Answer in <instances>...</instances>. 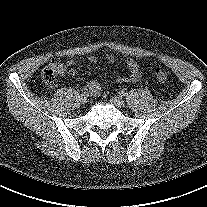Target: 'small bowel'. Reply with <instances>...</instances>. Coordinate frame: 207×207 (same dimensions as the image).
I'll return each instance as SVG.
<instances>
[{"label":"small bowel","mask_w":207,"mask_h":207,"mask_svg":"<svg viewBox=\"0 0 207 207\" xmlns=\"http://www.w3.org/2000/svg\"><path fill=\"white\" fill-rule=\"evenodd\" d=\"M87 60L90 63H96L97 62V58L94 56H88ZM107 62L108 63H113L114 62V57L113 56H108L107 57ZM74 64V61H70L67 63V66H72ZM125 65L127 66L128 70H129V75L127 76H121L117 79V81L119 83H129V82H137L141 79L142 77V70L139 67V65L137 64V62L131 58H127L125 60ZM61 74L64 72L65 70V65L61 64ZM69 74L72 76H75L77 74V71L75 69H70L69 70ZM88 91L94 95L97 96L102 92V87L101 85L96 82V81H90L87 87Z\"/></svg>","instance_id":"small-bowel-1"}]
</instances>
